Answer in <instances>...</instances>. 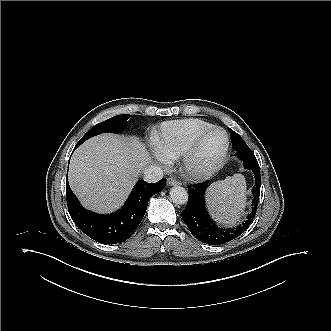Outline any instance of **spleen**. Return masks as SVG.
I'll list each match as a JSON object with an SVG mask.
<instances>
[{
    "instance_id": "1",
    "label": "spleen",
    "mask_w": 331,
    "mask_h": 331,
    "mask_svg": "<svg viewBox=\"0 0 331 331\" xmlns=\"http://www.w3.org/2000/svg\"><path fill=\"white\" fill-rule=\"evenodd\" d=\"M246 199V181L241 174L214 182L206 192L211 215L217 221L229 225H235L240 220Z\"/></svg>"
}]
</instances>
